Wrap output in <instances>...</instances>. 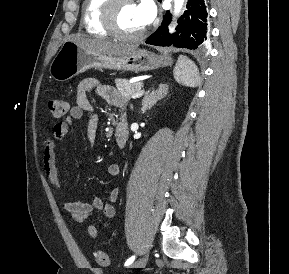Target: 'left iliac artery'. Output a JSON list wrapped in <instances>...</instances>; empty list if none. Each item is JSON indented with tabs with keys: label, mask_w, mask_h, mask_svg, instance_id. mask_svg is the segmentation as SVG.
Wrapping results in <instances>:
<instances>
[{
	"label": "left iliac artery",
	"mask_w": 289,
	"mask_h": 274,
	"mask_svg": "<svg viewBox=\"0 0 289 274\" xmlns=\"http://www.w3.org/2000/svg\"><path fill=\"white\" fill-rule=\"evenodd\" d=\"M134 260H135V255H133L129 259H127V261L125 262L124 266H129L130 264L133 263Z\"/></svg>",
	"instance_id": "obj_1"
}]
</instances>
